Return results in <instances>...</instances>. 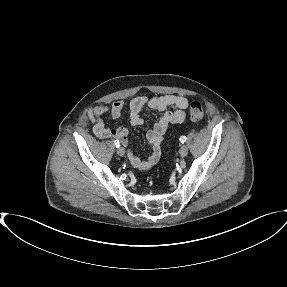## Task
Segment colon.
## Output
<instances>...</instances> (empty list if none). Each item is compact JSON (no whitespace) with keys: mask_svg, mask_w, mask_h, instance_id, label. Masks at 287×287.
<instances>
[{"mask_svg":"<svg viewBox=\"0 0 287 287\" xmlns=\"http://www.w3.org/2000/svg\"><path fill=\"white\" fill-rule=\"evenodd\" d=\"M190 117L193 121H201L204 117V110L199 102H193L190 106Z\"/></svg>","mask_w":287,"mask_h":287,"instance_id":"1","label":"colon"}]
</instances>
